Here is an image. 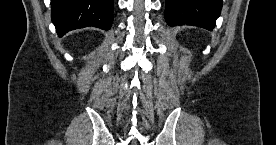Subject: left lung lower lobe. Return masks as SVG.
Listing matches in <instances>:
<instances>
[{
	"label": "left lung lower lobe",
	"mask_w": 276,
	"mask_h": 145,
	"mask_svg": "<svg viewBox=\"0 0 276 145\" xmlns=\"http://www.w3.org/2000/svg\"><path fill=\"white\" fill-rule=\"evenodd\" d=\"M221 9L222 0H166L165 19L169 26L187 24L212 31Z\"/></svg>",
	"instance_id": "0a47b994"
}]
</instances>
